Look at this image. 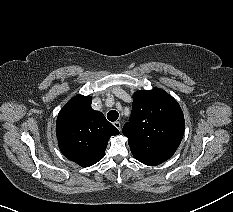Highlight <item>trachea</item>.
Instances as JSON below:
<instances>
[{
    "instance_id": "trachea-1",
    "label": "trachea",
    "mask_w": 233,
    "mask_h": 212,
    "mask_svg": "<svg viewBox=\"0 0 233 212\" xmlns=\"http://www.w3.org/2000/svg\"><path fill=\"white\" fill-rule=\"evenodd\" d=\"M118 117H119V113L115 110H111L107 114V119L112 122L116 121Z\"/></svg>"
}]
</instances>
